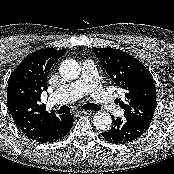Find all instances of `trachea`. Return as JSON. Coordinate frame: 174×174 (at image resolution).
<instances>
[{
	"mask_svg": "<svg viewBox=\"0 0 174 174\" xmlns=\"http://www.w3.org/2000/svg\"><path fill=\"white\" fill-rule=\"evenodd\" d=\"M82 109L98 111L100 109V107L98 105L94 104V103L93 104L92 103H87V104H84L82 106ZM58 113L59 114H61V113H70V108L66 105H63L58 110Z\"/></svg>",
	"mask_w": 174,
	"mask_h": 174,
	"instance_id": "1",
	"label": "trachea"
}]
</instances>
